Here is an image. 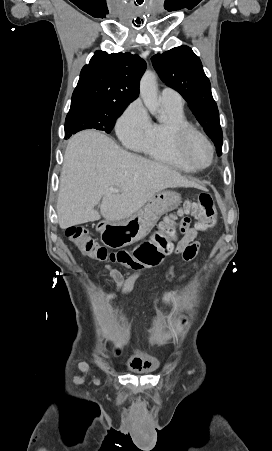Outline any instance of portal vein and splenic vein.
<instances>
[{"instance_id":"obj_1","label":"portal vein and splenic vein","mask_w":272,"mask_h":451,"mask_svg":"<svg viewBox=\"0 0 272 451\" xmlns=\"http://www.w3.org/2000/svg\"><path fill=\"white\" fill-rule=\"evenodd\" d=\"M109 192H120V190H118V188H109Z\"/></svg>"}]
</instances>
